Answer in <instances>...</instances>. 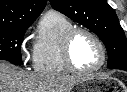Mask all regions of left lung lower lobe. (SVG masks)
<instances>
[{"label":"left lung lower lobe","mask_w":127,"mask_h":92,"mask_svg":"<svg viewBox=\"0 0 127 92\" xmlns=\"http://www.w3.org/2000/svg\"><path fill=\"white\" fill-rule=\"evenodd\" d=\"M118 69L127 71V66H123V67H120V68H118Z\"/></svg>","instance_id":"0a47b994"}]
</instances>
